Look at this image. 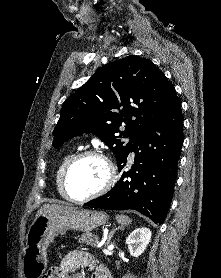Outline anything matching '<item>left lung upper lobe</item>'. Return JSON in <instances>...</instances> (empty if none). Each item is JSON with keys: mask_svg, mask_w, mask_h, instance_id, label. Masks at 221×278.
Returning <instances> with one entry per match:
<instances>
[{"mask_svg": "<svg viewBox=\"0 0 221 278\" xmlns=\"http://www.w3.org/2000/svg\"><path fill=\"white\" fill-rule=\"evenodd\" d=\"M176 101L174 86L149 59L134 55L119 59L98 69L64 102L53 146L93 133L111 149L118 163ZM121 124H125L124 131L119 129Z\"/></svg>", "mask_w": 221, "mask_h": 278, "instance_id": "obj_1", "label": "left lung upper lobe"}]
</instances>
